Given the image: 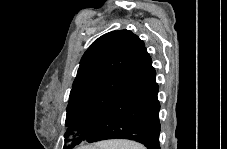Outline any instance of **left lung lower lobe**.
Masks as SVG:
<instances>
[{"mask_svg":"<svg viewBox=\"0 0 227 149\" xmlns=\"http://www.w3.org/2000/svg\"><path fill=\"white\" fill-rule=\"evenodd\" d=\"M155 77L151 57L144 46L126 86L84 142L129 139L148 149H160L159 87Z\"/></svg>","mask_w":227,"mask_h":149,"instance_id":"0a47b994","label":"left lung lower lobe"}]
</instances>
